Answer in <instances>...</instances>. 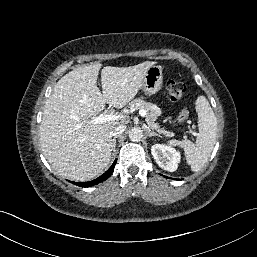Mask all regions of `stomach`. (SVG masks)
Listing matches in <instances>:
<instances>
[{"mask_svg": "<svg viewBox=\"0 0 257 257\" xmlns=\"http://www.w3.org/2000/svg\"><path fill=\"white\" fill-rule=\"evenodd\" d=\"M163 84L162 67L160 65L151 66L142 81V89L148 95L157 93Z\"/></svg>", "mask_w": 257, "mask_h": 257, "instance_id": "stomach-1", "label": "stomach"}]
</instances>
